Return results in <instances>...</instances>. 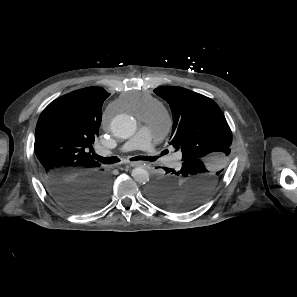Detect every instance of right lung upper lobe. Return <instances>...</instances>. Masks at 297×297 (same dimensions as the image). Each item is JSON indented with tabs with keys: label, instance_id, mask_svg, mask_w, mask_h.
<instances>
[{
	"label": "right lung upper lobe",
	"instance_id": "1",
	"mask_svg": "<svg viewBox=\"0 0 297 297\" xmlns=\"http://www.w3.org/2000/svg\"><path fill=\"white\" fill-rule=\"evenodd\" d=\"M109 95L102 88L88 87L54 100L43 110L34 144L41 173L77 176L99 168L87 151L98 135L102 104Z\"/></svg>",
	"mask_w": 297,
	"mask_h": 297
}]
</instances>
